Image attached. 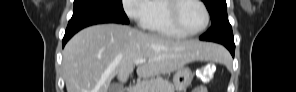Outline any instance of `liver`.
<instances>
[{"mask_svg": "<svg viewBox=\"0 0 296 92\" xmlns=\"http://www.w3.org/2000/svg\"><path fill=\"white\" fill-rule=\"evenodd\" d=\"M223 50L211 43L174 41L127 25L101 24L87 27L70 39L63 51L67 92H109L111 80L137 75L152 78L175 71L193 61H215Z\"/></svg>", "mask_w": 296, "mask_h": 92, "instance_id": "6515ba94", "label": "liver"}]
</instances>
